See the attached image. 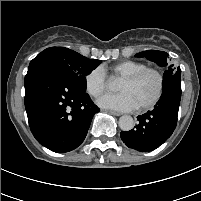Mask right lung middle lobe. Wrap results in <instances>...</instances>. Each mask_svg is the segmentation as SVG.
<instances>
[{
	"instance_id": "obj_1",
	"label": "right lung middle lobe",
	"mask_w": 201,
	"mask_h": 201,
	"mask_svg": "<svg viewBox=\"0 0 201 201\" xmlns=\"http://www.w3.org/2000/svg\"><path fill=\"white\" fill-rule=\"evenodd\" d=\"M100 63V60L88 59L68 48L51 47L38 54L30 62L28 70L47 67L66 76L73 81L77 88L85 91V76L91 73Z\"/></svg>"
}]
</instances>
